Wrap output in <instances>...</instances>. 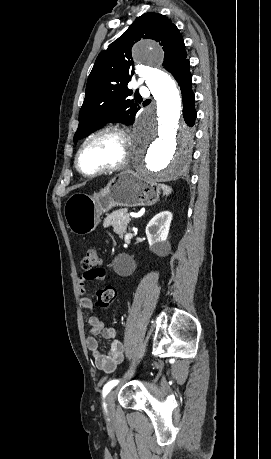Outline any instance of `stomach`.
I'll return each mask as SVG.
<instances>
[{
    "label": "stomach",
    "instance_id": "obj_1",
    "mask_svg": "<svg viewBox=\"0 0 271 459\" xmlns=\"http://www.w3.org/2000/svg\"><path fill=\"white\" fill-rule=\"evenodd\" d=\"M159 196L160 186L155 180L125 170L93 196L73 194L65 204L64 216L72 233L85 235L97 228L101 214L115 206H153Z\"/></svg>",
    "mask_w": 271,
    "mask_h": 459
}]
</instances>
